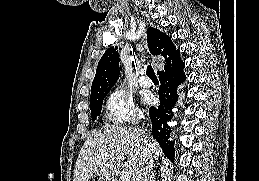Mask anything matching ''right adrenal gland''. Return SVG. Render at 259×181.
I'll use <instances>...</instances> for the list:
<instances>
[{"instance_id":"1","label":"right adrenal gland","mask_w":259,"mask_h":181,"mask_svg":"<svg viewBox=\"0 0 259 181\" xmlns=\"http://www.w3.org/2000/svg\"><path fill=\"white\" fill-rule=\"evenodd\" d=\"M155 179V175H154V172H152L151 176H150V180L149 181H154Z\"/></svg>"}]
</instances>
